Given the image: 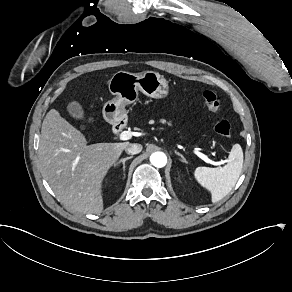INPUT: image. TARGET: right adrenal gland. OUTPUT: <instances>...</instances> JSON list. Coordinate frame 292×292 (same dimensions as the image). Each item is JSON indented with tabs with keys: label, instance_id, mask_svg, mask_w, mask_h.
I'll return each mask as SVG.
<instances>
[{
	"label": "right adrenal gland",
	"instance_id": "2a0ac1e0",
	"mask_svg": "<svg viewBox=\"0 0 292 292\" xmlns=\"http://www.w3.org/2000/svg\"><path fill=\"white\" fill-rule=\"evenodd\" d=\"M131 158H133V156L126 157V158H124L123 160L119 161V162L114 166V168L116 169V168H118V167L122 164V171H123V178H122V180H123V179L125 178V176H126V174H125V171H126L125 163H126L127 160H129V159H131Z\"/></svg>",
	"mask_w": 292,
	"mask_h": 292
}]
</instances>
